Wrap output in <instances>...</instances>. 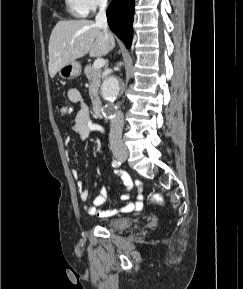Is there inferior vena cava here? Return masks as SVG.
Masks as SVG:
<instances>
[{"label":"inferior vena cava","mask_w":243,"mask_h":289,"mask_svg":"<svg viewBox=\"0 0 243 289\" xmlns=\"http://www.w3.org/2000/svg\"><path fill=\"white\" fill-rule=\"evenodd\" d=\"M107 0H99V11L96 15V25L103 30L106 38L110 37L108 32V24L106 17ZM123 113L121 111H115L111 117L109 141L110 147L113 153L126 152V146L122 141L123 130Z\"/></svg>","instance_id":"602c4592"}]
</instances>
